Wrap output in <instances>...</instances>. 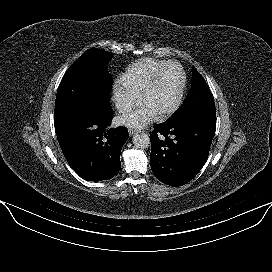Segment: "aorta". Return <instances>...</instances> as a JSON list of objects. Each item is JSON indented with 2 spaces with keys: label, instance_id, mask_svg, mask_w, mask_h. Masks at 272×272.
Here are the masks:
<instances>
[{
  "label": "aorta",
  "instance_id": "1",
  "mask_svg": "<svg viewBox=\"0 0 272 272\" xmlns=\"http://www.w3.org/2000/svg\"><path fill=\"white\" fill-rule=\"evenodd\" d=\"M132 142L137 149H146L150 146V138L146 133H136Z\"/></svg>",
  "mask_w": 272,
  "mask_h": 272
}]
</instances>
